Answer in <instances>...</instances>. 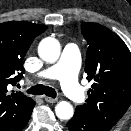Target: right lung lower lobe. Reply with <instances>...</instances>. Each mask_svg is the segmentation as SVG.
Returning a JSON list of instances; mask_svg holds the SVG:
<instances>
[{"label": "right lung lower lobe", "instance_id": "98d812e1", "mask_svg": "<svg viewBox=\"0 0 131 131\" xmlns=\"http://www.w3.org/2000/svg\"><path fill=\"white\" fill-rule=\"evenodd\" d=\"M27 122H28V121H27ZM27 122H26V124H27ZM26 124H25V125H26ZM25 125H24V127H25ZM24 127H23V128H24ZM23 128H22V129H23ZM22 129H21V130H22Z\"/></svg>", "mask_w": 131, "mask_h": 131}]
</instances>
